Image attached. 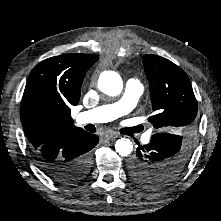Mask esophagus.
I'll return each instance as SVG.
<instances>
[{
    "instance_id": "esophagus-1",
    "label": "esophagus",
    "mask_w": 221,
    "mask_h": 221,
    "mask_svg": "<svg viewBox=\"0 0 221 221\" xmlns=\"http://www.w3.org/2000/svg\"><path fill=\"white\" fill-rule=\"evenodd\" d=\"M117 137H118V134H116V133H109V134L104 135L103 139L113 140V139H116Z\"/></svg>"
}]
</instances>
